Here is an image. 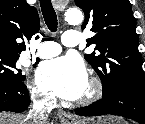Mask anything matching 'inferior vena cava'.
Wrapping results in <instances>:
<instances>
[{
	"label": "inferior vena cava",
	"instance_id": "inferior-vena-cava-1",
	"mask_svg": "<svg viewBox=\"0 0 145 124\" xmlns=\"http://www.w3.org/2000/svg\"><path fill=\"white\" fill-rule=\"evenodd\" d=\"M48 104L46 100L34 101L33 109L24 120L25 124H45L48 114Z\"/></svg>",
	"mask_w": 145,
	"mask_h": 124
}]
</instances>
